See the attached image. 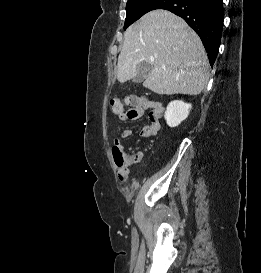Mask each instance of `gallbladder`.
Listing matches in <instances>:
<instances>
[{"mask_svg":"<svg viewBox=\"0 0 261 273\" xmlns=\"http://www.w3.org/2000/svg\"><path fill=\"white\" fill-rule=\"evenodd\" d=\"M153 66L150 63L142 62L137 67V74L132 79L135 83H140L144 81V79L150 74L152 71Z\"/></svg>","mask_w":261,"mask_h":273,"instance_id":"gallbladder-1","label":"gallbladder"}]
</instances>
